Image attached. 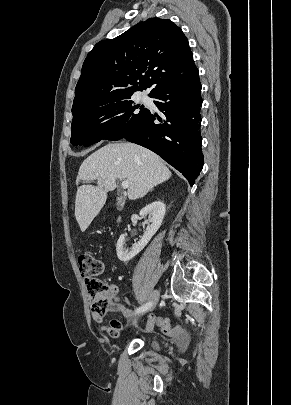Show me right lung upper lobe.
Instances as JSON below:
<instances>
[{
  "label": "right lung upper lobe",
  "instance_id": "cb5924a9",
  "mask_svg": "<svg viewBox=\"0 0 291 405\" xmlns=\"http://www.w3.org/2000/svg\"><path fill=\"white\" fill-rule=\"evenodd\" d=\"M198 73L188 40L169 19L140 22L88 53L75 88L72 113L89 105L154 92Z\"/></svg>",
  "mask_w": 291,
  "mask_h": 405
}]
</instances>
